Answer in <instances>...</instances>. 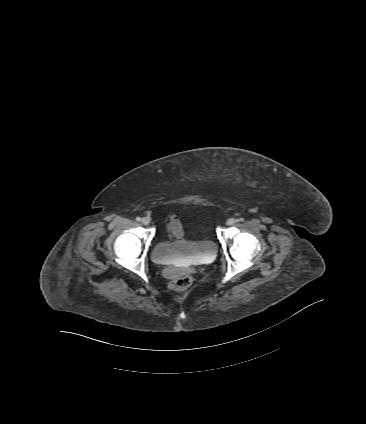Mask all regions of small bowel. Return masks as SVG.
Here are the masks:
<instances>
[{
  "instance_id": "obj_1",
  "label": "small bowel",
  "mask_w": 366,
  "mask_h": 424,
  "mask_svg": "<svg viewBox=\"0 0 366 424\" xmlns=\"http://www.w3.org/2000/svg\"><path fill=\"white\" fill-rule=\"evenodd\" d=\"M167 229L172 237L179 238L182 236V225L176 215L170 216Z\"/></svg>"
}]
</instances>
